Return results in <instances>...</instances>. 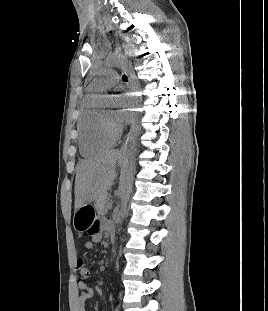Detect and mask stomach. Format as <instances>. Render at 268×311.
Masks as SVG:
<instances>
[{"instance_id":"1","label":"stomach","mask_w":268,"mask_h":311,"mask_svg":"<svg viewBox=\"0 0 268 311\" xmlns=\"http://www.w3.org/2000/svg\"><path fill=\"white\" fill-rule=\"evenodd\" d=\"M123 163L124 158H121L119 164L122 165ZM94 217V209L88 204L76 209L73 216L74 229L79 233L89 230L94 222Z\"/></svg>"}]
</instances>
